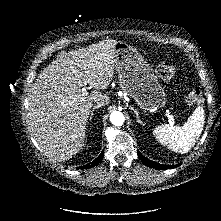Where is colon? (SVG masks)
Segmentation results:
<instances>
[{
	"instance_id": "obj_1",
	"label": "colon",
	"mask_w": 221,
	"mask_h": 221,
	"mask_svg": "<svg viewBox=\"0 0 221 221\" xmlns=\"http://www.w3.org/2000/svg\"><path fill=\"white\" fill-rule=\"evenodd\" d=\"M156 73L160 78L166 81H173L178 77L177 67L172 61H165L156 67ZM186 100L191 105H198L202 102V94L198 88H192L186 97Z\"/></svg>"
}]
</instances>
